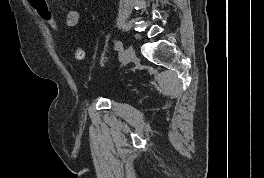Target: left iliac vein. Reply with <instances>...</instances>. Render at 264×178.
<instances>
[{"label": "left iliac vein", "instance_id": "1", "mask_svg": "<svg viewBox=\"0 0 264 178\" xmlns=\"http://www.w3.org/2000/svg\"><path fill=\"white\" fill-rule=\"evenodd\" d=\"M135 57V51L132 45H129L123 53L121 59V66H126L129 64Z\"/></svg>", "mask_w": 264, "mask_h": 178}]
</instances>
